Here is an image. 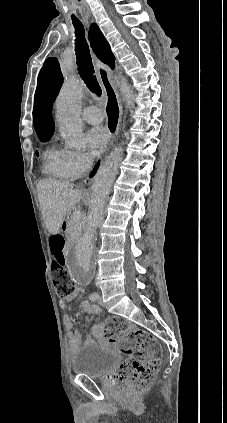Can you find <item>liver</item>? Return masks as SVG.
<instances>
[{
    "mask_svg": "<svg viewBox=\"0 0 227 423\" xmlns=\"http://www.w3.org/2000/svg\"><path fill=\"white\" fill-rule=\"evenodd\" d=\"M38 200L49 233H58L70 211L87 198L84 190H73V184L43 180L37 184Z\"/></svg>",
    "mask_w": 227,
    "mask_h": 423,
    "instance_id": "6515ba94",
    "label": "liver"
}]
</instances>
